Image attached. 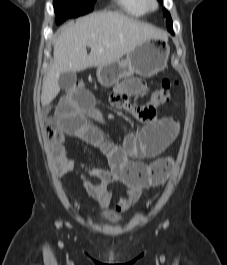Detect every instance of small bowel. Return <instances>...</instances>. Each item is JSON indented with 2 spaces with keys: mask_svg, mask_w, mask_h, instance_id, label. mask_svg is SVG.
I'll use <instances>...</instances> for the list:
<instances>
[{
  "mask_svg": "<svg viewBox=\"0 0 227 265\" xmlns=\"http://www.w3.org/2000/svg\"><path fill=\"white\" fill-rule=\"evenodd\" d=\"M114 86L118 87L111 96L113 108L137 117L136 112H141L142 108L133 105L127 96L142 93L144 81L130 78L125 82L114 81ZM58 104V111H55L58 127L52 137L51 150L59 172L77 175L87 195L103 208H108L114 199V193L109 188L111 183L120 182L125 187L114 211L106 214L107 219L113 220L126 212L138 201L144 189L165 179L158 181L152 174L156 161L145 163L143 160L157 157L174 141L179 130L176 120L162 118L146 125L138 134H127L121 144H116L106 140L103 131L90 122L89 118L100 122L104 119L101 112L94 108L98 99H93L86 87H66ZM66 136L76 137L98 148L107 159L109 168L93 167L73 159L64 145Z\"/></svg>",
  "mask_w": 227,
  "mask_h": 265,
  "instance_id": "obj_1",
  "label": "small bowel"
}]
</instances>
